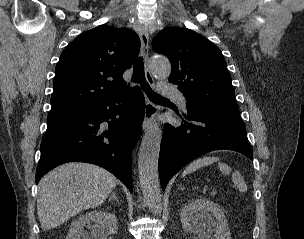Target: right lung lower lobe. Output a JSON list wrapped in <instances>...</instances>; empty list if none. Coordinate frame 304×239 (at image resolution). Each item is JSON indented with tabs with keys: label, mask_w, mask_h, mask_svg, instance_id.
<instances>
[{
	"label": "right lung lower lobe",
	"mask_w": 304,
	"mask_h": 239,
	"mask_svg": "<svg viewBox=\"0 0 304 239\" xmlns=\"http://www.w3.org/2000/svg\"><path fill=\"white\" fill-rule=\"evenodd\" d=\"M144 109L143 93L135 87L78 114L47 121L36 184L56 166L76 161L105 168L132 192L131 151L141 134Z\"/></svg>",
	"instance_id": "obj_1"
}]
</instances>
